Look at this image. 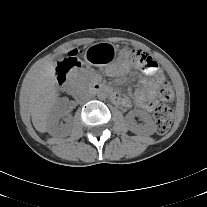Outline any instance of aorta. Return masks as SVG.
<instances>
[{"mask_svg":"<svg viewBox=\"0 0 207 207\" xmlns=\"http://www.w3.org/2000/svg\"><path fill=\"white\" fill-rule=\"evenodd\" d=\"M97 97L101 100H104L108 97V92L105 89H99L97 92Z\"/></svg>","mask_w":207,"mask_h":207,"instance_id":"obj_1","label":"aorta"}]
</instances>
